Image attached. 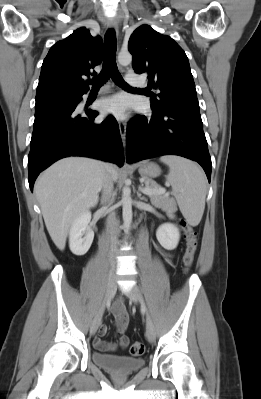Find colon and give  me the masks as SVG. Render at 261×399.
<instances>
[{
  "mask_svg": "<svg viewBox=\"0 0 261 399\" xmlns=\"http://www.w3.org/2000/svg\"><path fill=\"white\" fill-rule=\"evenodd\" d=\"M179 223L184 227L185 230L186 249L183 255V264L186 270H188L194 261V256L197 250V232L191 226H188L184 221L181 220ZM144 350L145 346L141 342H134L130 346V354L132 356H140L143 354Z\"/></svg>",
  "mask_w": 261,
  "mask_h": 399,
  "instance_id": "1",
  "label": "colon"
}]
</instances>
